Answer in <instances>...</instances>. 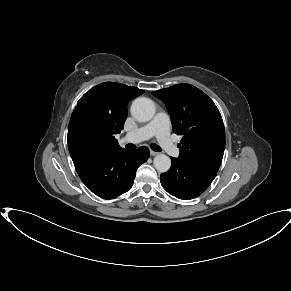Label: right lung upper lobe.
Instances as JSON below:
<instances>
[{
	"label": "right lung upper lobe",
	"mask_w": 291,
	"mask_h": 291,
	"mask_svg": "<svg viewBox=\"0 0 291 291\" xmlns=\"http://www.w3.org/2000/svg\"><path fill=\"white\" fill-rule=\"evenodd\" d=\"M144 91L125 84L105 82L85 93L77 102L68 127V143L82 132L81 142L101 152L121 150L115 134L123 129L127 104Z\"/></svg>",
	"instance_id": "1"
}]
</instances>
